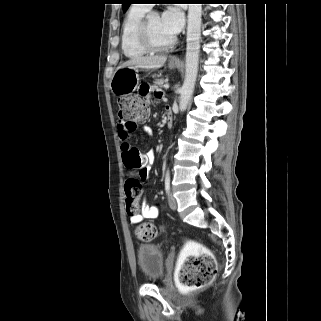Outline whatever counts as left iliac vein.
I'll return each mask as SVG.
<instances>
[{
	"mask_svg": "<svg viewBox=\"0 0 321 321\" xmlns=\"http://www.w3.org/2000/svg\"><path fill=\"white\" fill-rule=\"evenodd\" d=\"M168 203H169V206L172 210L177 209V202L172 194H169Z\"/></svg>",
	"mask_w": 321,
	"mask_h": 321,
	"instance_id": "4c4485c4",
	"label": "left iliac vein"
}]
</instances>
